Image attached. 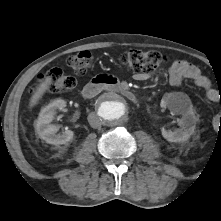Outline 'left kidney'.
Returning <instances> with one entry per match:
<instances>
[{
  "label": "left kidney",
  "mask_w": 221,
  "mask_h": 221,
  "mask_svg": "<svg viewBox=\"0 0 221 221\" xmlns=\"http://www.w3.org/2000/svg\"><path fill=\"white\" fill-rule=\"evenodd\" d=\"M160 106L168 108L173 114L181 115V118L177 120L180 127L175 131L162 128V136L174 143L188 140L194 133L197 121L189 96L182 92L165 93Z\"/></svg>",
  "instance_id": "5707ae66"
}]
</instances>
